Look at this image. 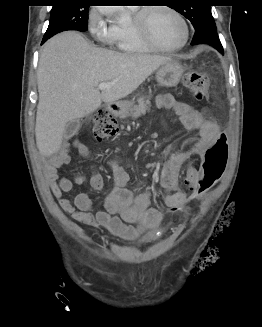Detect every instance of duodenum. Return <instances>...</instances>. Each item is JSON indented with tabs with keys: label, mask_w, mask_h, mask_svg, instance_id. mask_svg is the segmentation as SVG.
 <instances>
[{
	"label": "duodenum",
	"mask_w": 262,
	"mask_h": 327,
	"mask_svg": "<svg viewBox=\"0 0 262 327\" xmlns=\"http://www.w3.org/2000/svg\"><path fill=\"white\" fill-rule=\"evenodd\" d=\"M111 111L114 115H119L122 111V106L119 104H114L111 106Z\"/></svg>",
	"instance_id": "duodenum-1"
}]
</instances>
